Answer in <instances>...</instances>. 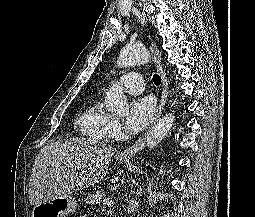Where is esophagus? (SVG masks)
I'll return each instance as SVG.
<instances>
[{
	"label": "esophagus",
	"instance_id": "obj_1",
	"mask_svg": "<svg viewBox=\"0 0 255 217\" xmlns=\"http://www.w3.org/2000/svg\"><path fill=\"white\" fill-rule=\"evenodd\" d=\"M150 51H151L153 63L155 65L158 73L161 76L162 92H161V97H160V100H159L157 111H156L154 117L152 118L149 126H151L153 123H155L156 120L160 117V115H161V113L164 109V106L166 104L167 96H168V93H169L168 80H167V77H166L165 70L163 69L162 64H161L160 53H159V50H158L156 44L152 40H151V43H150ZM146 133L147 132L142 134L140 136V138L132 146H130L129 148L125 149L122 152H119L117 154L118 158L129 159V158L135 156L137 153H139L142 150V148L144 147Z\"/></svg>",
	"mask_w": 255,
	"mask_h": 217
}]
</instances>
